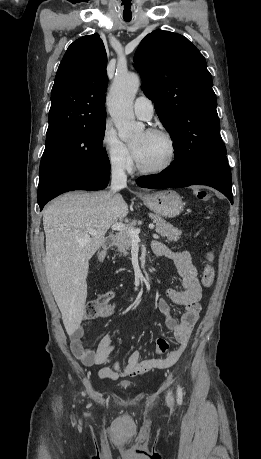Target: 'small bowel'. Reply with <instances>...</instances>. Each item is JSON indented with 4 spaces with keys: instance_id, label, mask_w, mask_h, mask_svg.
I'll list each match as a JSON object with an SVG mask.
<instances>
[{
    "instance_id": "obj_1",
    "label": "small bowel",
    "mask_w": 261,
    "mask_h": 459,
    "mask_svg": "<svg viewBox=\"0 0 261 459\" xmlns=\"http://www.w3.org/2000/svg\"><path fill=\"white\" fill-rule=\"evenodd\" d=\"M158 247V255L170 258L176 265L179 275L182 277V286L179 289H167L165 295L167 299L179 306L184 307V312L180 320H176L170 313V306L166 299L160 298L158 306L166 317V324L172 332L176 342V347L169 349V343L163 338L157 339L156 354L147 359L141 358L140 352L135 351L128 359L126 364L111 359L114 350L112 338L109 334L103 335L95 349L87 347L83 341L84 329L76 324L67 329L71 341V350L75 357L86 366L106 365L99 370L102 379L116 380L120 377L138 376L152 368H168L175 365L186 351L192 330L198 320L200 305L199 300L202 289L198 279V272L193 265L192 256L187 251H172L161 242H154ZM105 259V253L98 254ZM112 299L115 297L114 291H109ZM111 302V301H110ZM114 312V306L109 303L102 308L98 317H108Z\"/></svg>"
}]
</instances>
